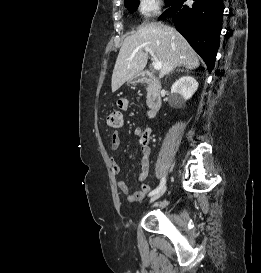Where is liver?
Returning a JSON list of instances; mask_svg holds the SVG:
<instances>
[{
    "instance_id": "6515ba94",
    "label": "liver",
    "mask_w": 261,
    "mask_h": 273,
    "mask_svg": "<svg viewBox=\"0 0 261 273\" xmlns=\"http://www.w3.org/2000/svg\"><path fill=\"white\" fill-rule=\"evenodd\" d=\"M145 47L161 62V77L176 67L196 69L200 65L198 55L178 31L162 23H145L123 42L112 74V92L141 75L148 61Z\"/></svg>"
}]
</instances>
